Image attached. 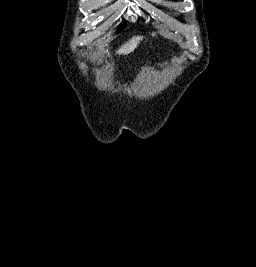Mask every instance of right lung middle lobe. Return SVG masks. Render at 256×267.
Listing matches in <instances>:
<instances>
[{
    "label": "right lung middle lobe",
    "mask_w": 256,
    "mask_h": 267,
    "mask_svg": "<svg viewBox=\"0 0 256 267\" xmlns=\"http://www.w3.org/2000/svg\"><path fill=\"white\" fill-rule=\"evenodd\" d=\"M124 27H125V24L122 23V24L118 27V29H123Z\"/></svg>",
    "instance_id": "1"
}]
</instances>
